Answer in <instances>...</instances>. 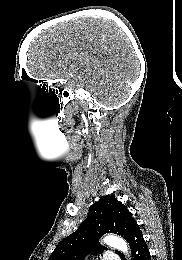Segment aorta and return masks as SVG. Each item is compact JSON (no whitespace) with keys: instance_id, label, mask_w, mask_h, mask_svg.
I'll use <instances>...</instances> for the list:
<instances>
[{"instance_id":"1","label":"aorta","mask_w":182,"mask_h":260,"mask_svg":"<svg viewBox=\"0 0 182 260\" xmlns=\"http://www.w3.org/2000/svg\"><path fill=\"white\" fill-rule=\"evenodd\" d=\"M103 241L110 247L116 248L126 255L128 254V245L122 238L114 235H108L103 239Z\"/></svg>"}]
</instances>
